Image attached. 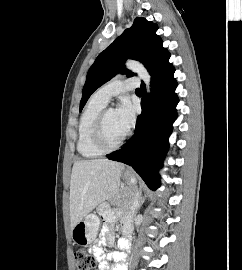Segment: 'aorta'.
I'll list each match as a JSON object with an SVG mask.
<instances>
[{"label": "aorta", "mask_w": 242, "mask_h": 270, "mask_svg": "<svg viewBox=\"0 0 242 270\" xmlns=\"http://www.w3.org/2000/svg\"><path fill=\"white\" fill-rule=\"evenodd\" d=\"M125 65L127 69L138 74V76L144 81L147 92L149 93L151 76L149 72L147 71V69L144 67V65L141 64L140 62L133 61V60L126 61Z\"/></svg>", "instance_id": "1"}]
</instances>
